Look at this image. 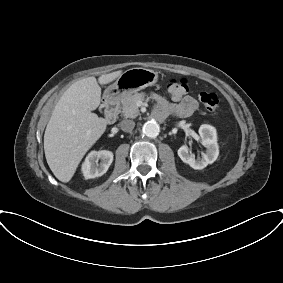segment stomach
Here are the masks:
<instances>
[{
	"label": "stomach",
	"instance_id": "0dacf381",
	"mask_svg": "<svg viewBox=\"0 0 283 283\" xmlns=\"http://www.w3.org/2000/svg\"><path fill=\"white\" fill-rule=\"evenodd\" d=\"M158 80V73L146 68H131L123 72L115 83L109 86L110 96L123 98L146 87L154 85Z\"/></svg>",
	"mask_w": 283,
	"mask_h": 283
}]
</instances>
